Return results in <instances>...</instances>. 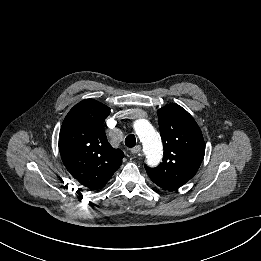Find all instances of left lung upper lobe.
Returning a JSON list of instances; mask_svg holds the SVG:
<instances>
[{
	"mask_svg": "<svg viewBox=\"0 0 261 261\" xmlns=\"http://www.w3.org/2000/svg\"><path fill=\"white\" fill-rule=\"evenodd\" d=\"M164 146L163 162L156 168L145 166L151 180L165 190H175L197 172L205 154L202 132L192 116L177 104L158 110Z\"/></svg>",
	"mask_w": 261,
	"mask_h": 261,
	"instance_id": "1",
	"label": "left lung upper lobe"
}]
</instances>
